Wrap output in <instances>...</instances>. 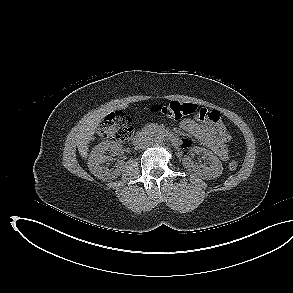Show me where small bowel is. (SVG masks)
Instances as JSON below:
<instances>
[{"instance_id":"1","label":"small bowel","mask_w":293,"mask_h":293,"mask_svg":"<svg viewBox=\"0 0 293 293\" xmlns=\"http://www.w3.org/2000/svg\"><path fill=\"white\" fill-rule=\"evenodd\" d=\"M181 128L189 134L200 140L206 147L211 149L221 160L226 161L229 158L228 149L219 139L216 126L208 123H199L191 119H183L180 123ZM191 141L183 140L181 147L190 146Z\"/></svg>"}]
</instances>
